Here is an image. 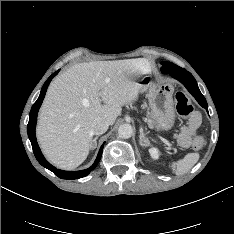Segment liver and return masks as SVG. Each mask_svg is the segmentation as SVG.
Listing matches in <instances>:
<instances>
[{
	"label": "liver",
	"instance_id": "6515ba94",
	"mask_svg": "<svg viewBox=\"0 0 234 234\" xmlns=\"http://www.w3.org/2000/svg\"><path fill=\"white\" fill-rule=\"evenodd\" d=\"M150 69L146 59L80 63L49 86L36 129L46 158L72 170L87 158L97 119L113 125L122 106L135 101L141 85L136 81ZM102 102L104 104H102Z\"/></svg>",
	"mask_w": 234,
	"mask_h": 234
}]
</instances>
